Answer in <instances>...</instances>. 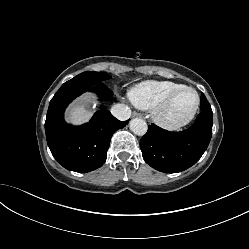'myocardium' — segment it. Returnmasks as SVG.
<instances>
[{"mask_svg": "<svg viewBox=\"0 0 249 249\" xmlns=\"http://www.w3.org/2000/svg\"><path fill=\"white\" fill-rule=\"evenodd\" d=\"M182 91H190L194 94L195 96V102L194 106L191 109V111L184 117L177 119V120H172L169 119L166 116V112L168 108L170 107L172 101L176 97L177 94H179ZM200 106V97L198 92L189 86L183 85L180 86L174 90H172L170 93H168L154 108L152 111V117L154 121L160 125L163 128L170 129V130H176L179 128L184 127L188 123L192 121V119L195 117L198 109Z\"/></svg>", "mask_w": 249, "mask_h": 249, "instance_id": "f54148a6", "label": "myocardium"}]
</instances>
